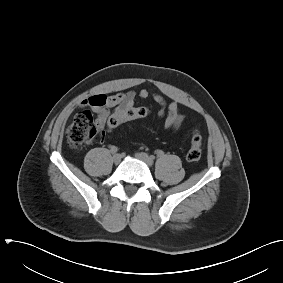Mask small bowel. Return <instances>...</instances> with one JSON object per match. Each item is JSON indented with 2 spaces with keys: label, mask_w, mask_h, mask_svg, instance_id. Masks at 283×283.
Segmentation results:
<instances>
[{
  "label": "small bowel",
  "mask_w": 283,
  "mask_h": 283,
  "mask_svg": "<svg viewBox=\"0 0 283 283\" xmlns=\"http://www.w3.org/2000/svg\"><path fill=\"white\" fill-rule=\"evenodd\" d=\"M149 96L150 92L147 89H141L138 93L130 90L109 96L97 94L84 99L80 106L89 107L96 113V125L98 131H100L106 126V122L112 114L134 107L137 97L146 99ZM152 97L160 106L158 117L164 118V128L177 130L183 121V115L180 113L178 102L173 100L168 104L165 98L158 93L153 94Z\"/></svg>",
  "instance_id": "1"
}]
</instances>
